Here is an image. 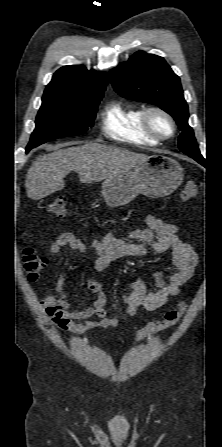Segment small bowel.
Returning a JSON list of instances; mask_svg holds the SVG:
<instances>
[{
	"instance_id": "c3829d8e",
	"label": "small bowel",
	"mask_w": 222,
	"mask_h": 447,
	"mask_svg": "<svg viewBox=\"0 0 222 447\" xmlns=\"http://www.w3.org/2000/svg\"><path fill=\"white\" fill-rule=\"evenodd\" d=\"M148 225L144 229H136L129 235V240H123L115 233H107L102 239L91 242V248L96 252L94 271L88 276V289L97 295L94 303L82 310H71L68 293L63 286L67 273L60 274L55 290L56 293L40 300V305L52 323L62 330L74 333H84L97 328H113L119 320L107 314L105 309L106 295L102 283L97 280V273L103 272L108 265L117 259L125 257H144L149 252L162 255L169 252L171 267L167 277L162 271L153 274L155 289L147 292L143 280L133 281L125 296V313L127 317L134 316L140 308L154 311L166 304L170 297L179 293L180 287L189 281L197 264V255L190 245L178 236L177 224L167 223L147 215ZM84 252L86 245L74 234L66 232L51 243L49 251L53 255L61 253L63 248Z\"/></svg>"
}]
</instances>
